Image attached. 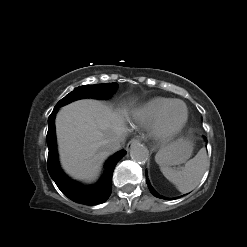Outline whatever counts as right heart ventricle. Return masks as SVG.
Listing matches in <instances>:
<instances>
[{"label":"right heart ventricle","mask_w":247,"mask_h":247,"mask_svg":"<svg viewBox=\"0 0 247 247\" xmlns=\"http://www.w3.org/2000/svg\"><path fill=\"white\" fill-rule=\"evenodd\" d=\"M172 100L165 97L152 98L136 109L135 117L143 125H152L160 111Z\"/></svg>","instance_id":"e07e8e85"}]
</instances>
